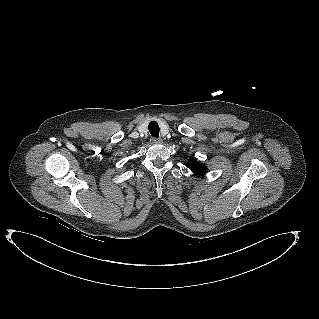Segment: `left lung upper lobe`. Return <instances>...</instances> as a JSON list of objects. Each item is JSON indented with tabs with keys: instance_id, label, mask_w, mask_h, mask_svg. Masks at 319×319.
I'll use <instances>...</instances> for the list:
<instances>
[{
	"instance_id": "1",
	"label": "left lung upper lobe",
	"mask_w": 319,
	"mask_h": 319,
	"mask_svg": "<svg viewBox=\"0 0 319 319\" xmlns=\"http://www.w3.org/2000/svg\"><path fill=\"white\" fill-rule=\"evenodd\" d=\"M188 168L197 175H201L206 170V166L198 163L194 157L189 159Z\"/></svg>"
}]
</instances>
